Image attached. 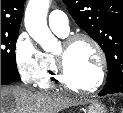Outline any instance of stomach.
<instances>
[{
    "mask_svg": "<svg viewBox=\"0 0 123 113\" xmlns=\"http://www.w3.org/2000/svg\"><path fill=\"white\" fill-rule=\"evenodd\" d=\"M85 113H107V109L99 101L93 100L86 107Z\"/></svg>",
    "mask_w": 123,
    "mask_h": 113,
    "instance_id": "stomach-1",
    "label": "stomach"
}]
</instances>
